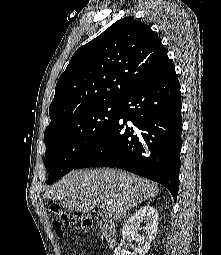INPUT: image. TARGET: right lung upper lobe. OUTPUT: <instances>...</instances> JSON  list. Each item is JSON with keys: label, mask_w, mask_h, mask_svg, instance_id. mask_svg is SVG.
Wrapping results in <instances>:
<instances>
[{"label": "right lung upper lobe", "mask_w": 221, "mask_h": 255, "mask_svg": "<svg viewBox=\"0 0 221 255\" xmlns=\"http://www.w3.org/2000/svg\"><path fill=\"white\" fill-rule=\"evenodd\" d=\"M167 58L147 24L133 17L118 20L73 54L56 84L46 130L81 109L119 103Z\"/></svg>", "instance_id": "right-lung-upper-lobe-1"}]
</instances>
